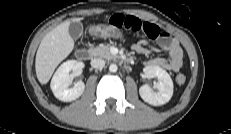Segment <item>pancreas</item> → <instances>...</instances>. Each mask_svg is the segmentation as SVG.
<instances>
[{"label": "pancreas", "instance_id": "cf45deb5", "mask_svg": "<svg viewBox=\"0 0 231 134\" xmlns=\"http://www.w3.org/2000/svg\"><path fill=\"white\" fill-rule=\"evenodd\" d=\"M90 53L94 57H101L105 59H115L117 56L111 54L110 48L107 45H101L90 49Z\"/></svg>", "mask_w": 231, "mask_h": 134}]
</instances>
